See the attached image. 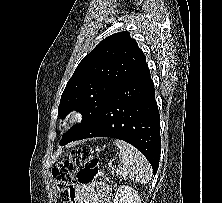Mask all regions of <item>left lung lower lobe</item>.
<instances>
[{
  "mask_svg": "<svg viewBox=\"0 0 222 203\" xmlns=\"http://www.w3.org/2000/svg\"><path fill=\"white\" fill-rule=\"evenodd\" d=\"M91 137H110L130 143L144 154L156 174L161 152L160 117L146 58L72 141Z\"/></svg>",
  "mask_w": 222,
  "mask_h": 203,
  "instance_id": "left-lung-lower-lobe-1",
  "label": "left lung lower lobe"
}]
</instances>
